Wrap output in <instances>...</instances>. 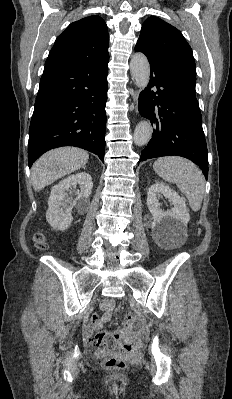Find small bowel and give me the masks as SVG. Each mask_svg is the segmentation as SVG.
<instances>
[{"instance_id":"c3829d8e","label":"small bowel","mask_w":232,"mask_h":399,"mask_svg":"<svg viewBox=\"0 0 232 399\" xmlns=\"http://www.w3.org/2000/svg\"><path fill=\"white\" fill-rule=\"evenodd\" d=\"M113 307V299H103L100 306L103 314L101 316L95 315L91 322H77L76 327L85 332L100 331L103 328L104 323L110 320Z\"/></svg>"}]
</instances>
